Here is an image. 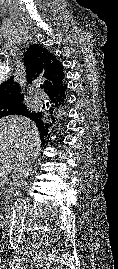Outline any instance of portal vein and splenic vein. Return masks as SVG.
<instances>
[{
	"instance_id": "obj_1",
	"label": "portal vein and splenic vein",
	"mask_w": 118,
	"mask_h": 269,
	"mask_svg": "<svg viewBox=\"0 0 118 269\" xmlns=\"http://www.w3.org/2000/svg\"><path fill=\"white\" fill-rule=\"evenodd\" d=\"M4 174H5V172L3 171V172L0 173V176H4Z\"/></svg>"
}]
</instances>
